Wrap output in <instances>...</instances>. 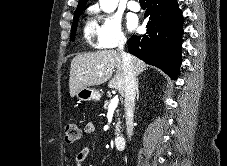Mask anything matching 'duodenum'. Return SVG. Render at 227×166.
Returning <instances> with one entry per match:
<instances>
[{"label":"duodenum","instance_id":"duodenum-1","mask_svg":"<svg viewBox=\"0 0 227 166\" xmlns=\"http://www.w3.org/2000/svg\"><path fill=\"white\" fill-rule=\"evenodd\" d=\"M126 145V138L123 135H119L115 138V147L117 150H123Z\"/></svg>","mask_w":227,"mask_h":166}]
</instances>
